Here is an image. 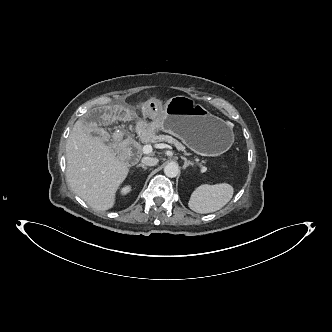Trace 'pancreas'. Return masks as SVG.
Returning a JSON list of instances; mask_svg holds the SVG:
<instances>
[{"label": "pancreas", "instance_id": "pancreas-1", "mask_svg": "<svg viewBox=\"0 0 332 332\" xmlns=\"http://www.w3.org/2000/svg\"><path fill=\"white\" fill-rule=\"evenodd\" d=\"M149 143H152V144H157L159 142H168L170 144H173L177 150H180V151H184L185 150V146L179 142L177 139L173 138L172 136L170 135H153L149 138L148 140ZM197 161V164L199 165L200 167V171L203 173L206 171V167L203 165L204 161H199L198 159H196Z\"/></svg>", "mask_w": 332, "mask_h": 332}]
</instances>
